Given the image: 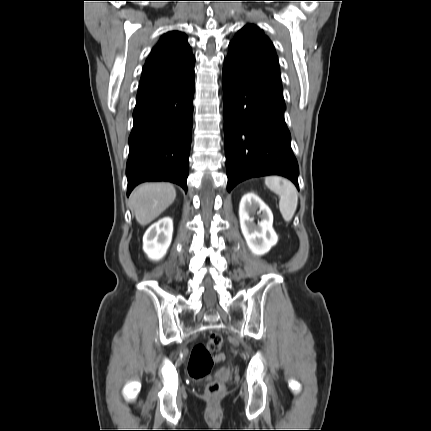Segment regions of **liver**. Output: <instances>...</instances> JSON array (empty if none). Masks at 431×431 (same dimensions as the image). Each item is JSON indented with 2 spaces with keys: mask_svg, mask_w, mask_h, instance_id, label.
<instances>
[{
  "mask_svg": "<svg viewBox=\"0 0 431 431\" xmlns=\"http://www.w3.org/2000/svg\"><path fill=\"white\" fill-rule=\"evenodd\" d=\"M175 198L176 190L169 183H144L133 190L129 204L136 221L145 226L164 212Z\"/></svg>",
  "mask_w": 431,
  "mask_h": 431,
  "instance_id": "liver-1",
  "label": "liver"
}]
</instances>
